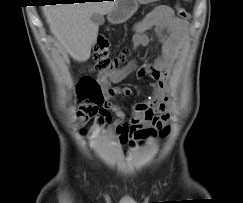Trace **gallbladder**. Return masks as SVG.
<instances>
[{
	"label": "gallbladder",
	"mask_w": 243,
	"mask_h": 203,
	"mask_svg": "<svg viewBox=\"0 0 243 203\" xmlns=\"http://www.w3.org/2000/svg\"><path fill=\"white\" fill-rule=\"evenodd\" d=\"M91 21L96 24V25H102L104 23V17L103 15L101 14H98V13H94L92 16H91Z\"/></svg>",
	"instance_id": "1"
}]
</instances>
